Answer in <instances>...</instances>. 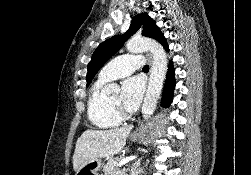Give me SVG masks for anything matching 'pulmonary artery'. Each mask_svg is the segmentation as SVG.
Masks as SVG:
<instances>
[{
  "label": "pulmonary artery",
  "instance_id": "e3ab8cb5",
  "mask_svg": "<svg viewBox=\"0 0 251 175\" xmlns=\"http://www.w3.org/2000/svg\"><path fill=\"white\" fill-rule=\"evenodd\" d=\"M138 67H144L141 54L128 52V55H119V58H114V62H107L99 73V80L109 82L122 76H130Z\"/></svg>",
  "mask_w": 251,
  "mask_h": 175
}]
</instances>
